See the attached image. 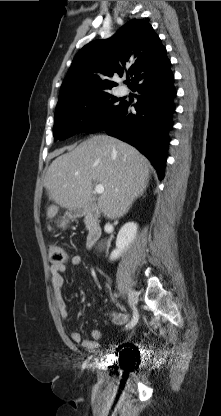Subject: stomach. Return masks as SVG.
<instances>
[{"instance_id": "1", "label": "stomach", "mask_w": 221, "mask_h": 416, "mask_svg": "<svg viewBox=\"0 0 221 416\" xmlns=\"http://www.w3.org/2000/svg\"><path fill=\"white\" fill-rule=\"evenodd\" d=\"M73 218V215L66 214L60 221L59 226L63 229H65L69 223V220Z\"/></svg>"}]
</instances>
